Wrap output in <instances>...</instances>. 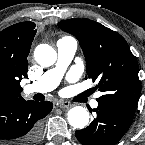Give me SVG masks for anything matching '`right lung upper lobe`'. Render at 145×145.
<instances>
[{
    "mask_svg": "<svg viewBox=\"0 0 145 145\" xmlns=\"http://www.w3.org/2000/svg\"><path fill=\"white\" fill-rule=\"evenodd\" d=\"M36 31L34 22H21L0 32V77L7 84L0 101L22 98L20 81L27 76V56Z\"/></svg>",
    "mask_w": 145,
    "mask_h": 145,
    "instance_id": "cb5924a9",
    "label": "right lung upper lobe"
}]
</instances>
